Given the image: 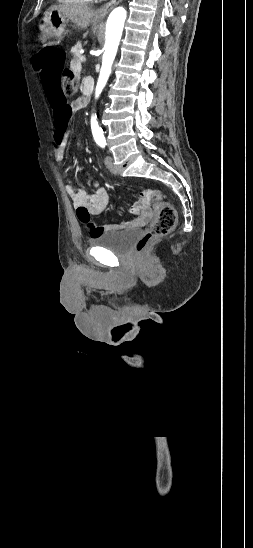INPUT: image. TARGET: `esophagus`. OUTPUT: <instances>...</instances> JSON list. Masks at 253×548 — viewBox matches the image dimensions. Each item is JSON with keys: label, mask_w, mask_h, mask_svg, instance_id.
<instances>
[{"label": "esophagus", "mask_w": 253, "mask_h": 548, "mask_svg": "<svg viewBox=\"0 0 253 548\" xmlns=\"http://www.w3.org/2000/svg\"><path fill=\"white\" fill-rule=\"evenodd\" d=\"M122 0H110L109 2H107L106 4H104L103 6H101L97 11H96V16L98 17H104L105 15H107L110 10H112L117 4H119Z\"/></svg>", "instance_id": "esophagus-1"}]
</instances>
